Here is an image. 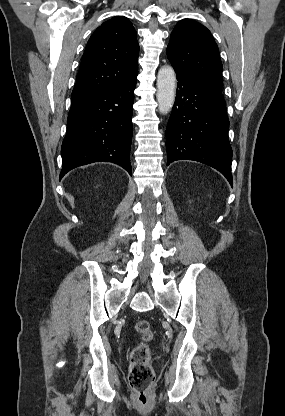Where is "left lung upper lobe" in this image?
Instances as JSON below:
<instances>
[{
    "label": "left lung upper lobe",
    "mask_w": 285,
    "mask_h": 416,
    "mask_svg": "<svg viewBox=\"0 0 285 416\" xmlns=\"http://www.w3.org/2000/svg\"><path fill=\"white\" fill-rule=\"evenodd\" d=\"M167 57L176 73L205 88L222 93V63L210 31L200 23H177L167 46Z\"/></svg>",
    "instance_id": "obj_1"
}]
</instances>
